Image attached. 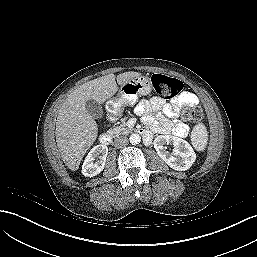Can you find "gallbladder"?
Returning a JSON list of instances; mask_svg holds the SVG:
<instances>
[{"label":"gallbladder","instance_id":"1","mask_svg":"<svg viewBox=\"0 0 257 257\" xmlns=\"http://www.w3.org/2000/svg\"><path fill=\"white\" fill-rule=\"evenodd\" d=\"M85 108L87 110V112L95 119H99L102 117L103 111H102V107L101 105L93 100V99H89L86 101V105Z\"/></svg>","mask_w":257,"mask_h":257}]
</instances>
